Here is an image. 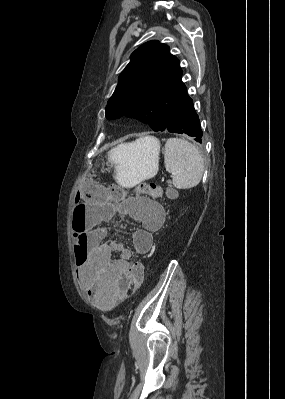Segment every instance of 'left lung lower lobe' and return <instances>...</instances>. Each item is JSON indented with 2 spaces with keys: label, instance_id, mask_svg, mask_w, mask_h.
Instances as JSON below:
<instances>
[{
  "label": "left lung lower lobe",
  "instance_id": "0a47b994",
  "mask_svg": "<svg viewBox=\"0 0 285 399\" xmlns=\"http://www.w3.org/2000/svg\"><path fill=\"white\" fill-rule=\"evenodd\" d=\"M171 133L186 134L202 143V130L193 101L185 89L169 115L165 129Z\"/></svg>",
  "mask_w": 285,
  "mask_h": 399
}]
</instances>
